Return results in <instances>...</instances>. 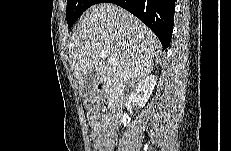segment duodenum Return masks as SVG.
Returning a JSON list of instances; mask_svg holds the SVG:
<instances>
[{
  "label": "duodenum",
  "instance_id": "duodenum-1",
  "mask_svg": "<svg viewBox=\"0 0 231 151\" xmlns=\"http://www.w3.org/2000/svg\"><path fill=\"white\" fill-rule=\"evenodd\" d=\"M96 91L98 94H108L115 100V104L112 106V110L114 111V115L110 116L112 122H119L122 116V108L117 103V97L119 94V88L116 86L110 85L106 81H99L96 85Z\"/></svg>",
  "mask_w": 231,
  "mask_h": 151
}]
</instances>
